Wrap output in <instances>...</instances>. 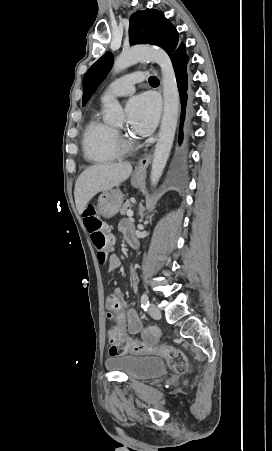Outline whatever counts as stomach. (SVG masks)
Segmentation results:
<instances>
[{"label":"stomach","mask_w":272,"mask_h":451,"mask_svg":"<svg viewBox=\"0 0 272 451\" xmlns=\"http://www.w3.org/2000/svg\"><path fill=\"white\" fill-rule=\"evenodd\" d=\"M144 178L145 176L134 174L131 184H133V186H138V184L143 182ZM123 200V194L120 190H105V192H102L98 198V212L100 216H104V218H112V216H115V214L119 212Z\"/></svg>","instance_id":"stomach-1"}]
</instances>
